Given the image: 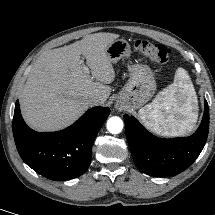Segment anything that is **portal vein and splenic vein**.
Returning a JSON list of instances; mask_svg holds the SVG:
<instances>
[{
	"label": "portal vein and splenic vein",
	"mask_w": 215,
	"mask_h": 215,
	"mask_svg": "<svg viewBox=\"0 0 215 215\" xmlns=\"http://www.w3.org/2000/svg\"><path fill=\"white\" fill-rule=\"evenodd\" d=\"M83 70L85 73L89 74V68L86 65H83Z\"/></svg>",
	"instance_id": "obj_1"
}]
</instances>
